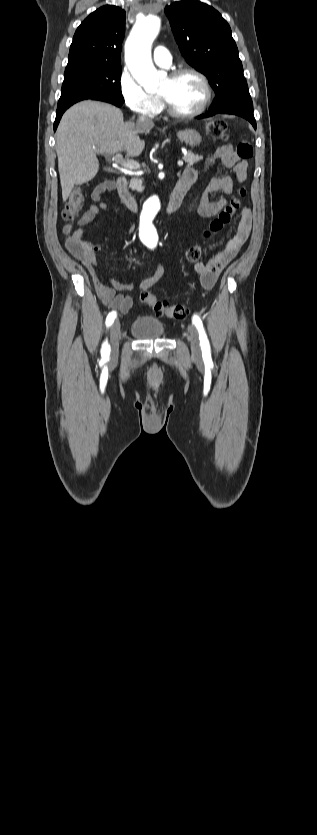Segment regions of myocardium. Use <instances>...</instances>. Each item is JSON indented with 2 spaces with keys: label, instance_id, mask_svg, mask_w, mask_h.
Here are the masks:
<instances>
[{
  "label": "myocardium",
  "instance_id": "obj_1",
  "mask_svg": "<svg viewBox=\"0 0 317 835\" xmlns=\"http://www.w3.org/2000/svg\"><path fill=\"white\" fill-rule=\"evenodd\" d=\"M186 74H191V75L196 76L200 80V82L202 84V87H203V90H204L203 99L200 102L199 106L195 110H193L191 112H187V113L180 112L172 106V104L169 102V100L164 95L160 94V98L163 101L167 112L172 117L179 118V119H190V118H194V117L199 116L207 108V106L210 103L211 98H212V88H211V85H210V82H209L207 76L196 68H193V67L177 68L169 74V78L176 79V78H178L182 75H186Z\"/></svg>",
  "mask_w": 317,
  "mask_h": 835
}]
</instances>
